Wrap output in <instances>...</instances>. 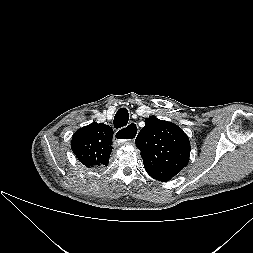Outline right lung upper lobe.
I'll return each instance as SVG.
<instances>
[{
	"mask_svg": "<svg viewBox=\"0 0 253 253\" xmlns=\"http://www.w3.org/2000/svg\"><path fill=\"white\" fill-rule=\"evenodd\" d=\"M112 137L110 126L93 122L75 132L71 149L86 167L103 168L109 163Z\"/></svg>",
	"mask_w": 253,
	"mask_h": 253,
	"instance_id": "obj_1",
	"label": "right lung upper lobe"
}]
</instances>
